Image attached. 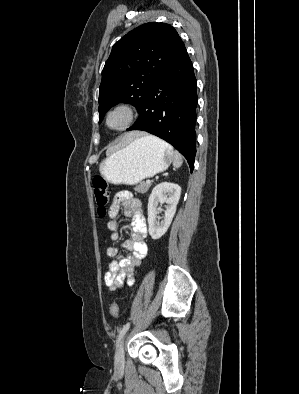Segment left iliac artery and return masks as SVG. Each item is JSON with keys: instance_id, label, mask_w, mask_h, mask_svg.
Returning a JSON list of instances; mask_svg holds the SVG:
<instances>
[{"instance_id": "left-iliac-artery-1", "label": "left iliac artery", "mask_w": 299, "mask_h": 394, "mask_svg": "<svg viewBox=\"0 0 299 394\" xmlns=\"http://www.w3.org/2000/svg\"><path fill=\"white\" fill-rule=\"evenodd\" d=\"M129 326H130V323L128 322L122 327V329L118 335L117 344L119 343V341L121 340V338L123 337L125 332L129 329Z\"/></svg>"}]
</instances>
